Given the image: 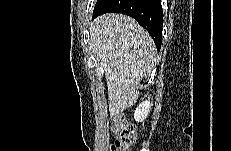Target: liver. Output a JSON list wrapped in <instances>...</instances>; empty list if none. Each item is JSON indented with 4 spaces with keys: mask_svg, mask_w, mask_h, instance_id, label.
<instances>
[{
    "mask_svg": "<svg viewBox=\"0 0 231 151\" xmlns=\"http://www.w3.org/2000/svg\"><path fill=\"white\" fill-rule=\"evenodd\" d=\"M90 46L105 71L110 115L119 114L137 101L140 80L154 68L155 44L133 18L110 13L91 23Z\"/></svg>",
    "mask_w": 231,
    "mask_h": 151,
    "instance_id": "6515ba94",
    "label": "liver"
}]
</instances>
